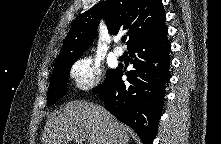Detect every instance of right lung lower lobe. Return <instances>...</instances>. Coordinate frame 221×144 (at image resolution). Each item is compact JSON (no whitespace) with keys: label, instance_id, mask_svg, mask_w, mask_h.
Returning <instances> with one entry per match:
<instances>
[{"label":"right lung lower lobe","instance_id":"right-lung-lower-lobe-1","mask_svg":"<svg viewBox=\"0 0 221 144\" xmlns=\"http://www.w3.org/2000/svg\"><path fill=\"white\" fill-rule=\"evenodd\" d=\"M167 32L164 23L128 46L134 69L125 73L127 84L121 80L119 66L94 91L109 112L136 130L144 144H152L155 138L170 79Z\"/></svg>","mask_w":221,"mask_h":144}]
</instances>
